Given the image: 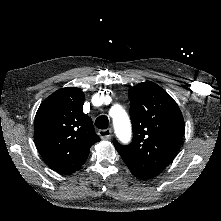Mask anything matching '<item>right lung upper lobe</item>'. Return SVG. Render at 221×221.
I'll list each match as a JSON object with an SVG mask.
<instances>
[{
    "mask_svg": "<svg viewBox=\"0 0 221 221\" xmlns=\"http://www.w3.org/2000/svg\"><path fill=\"white\" fill-rule=\"evenodd\" d=\"M84 98L79 88H62L47 97L36 113L35 145L45 163L58 173L80 169L90 147L100 141L91 118L82 111Z\"/></svg>",
    "mask_w": 221,
    "mask_h": 221,
    "instance_id": "right-lung-upper-lobe-1",
    "label": "right lung upper lobe"
}]
</instances>
